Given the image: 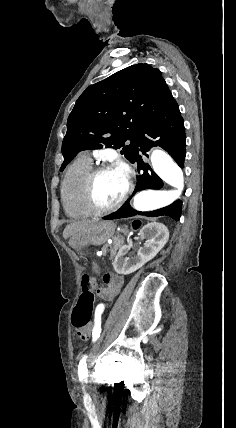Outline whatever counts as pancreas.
I'll return each instance as SVG.
<instances>
[{
  "mask_svg": "<svg viewBox=\"0 0 236 428\" xmlns=\"http://www.w3.org/2000/svg\"><path fill=\"white\" fill-rule=\"evenodd\" d=\"M119 240H123V238H121V236H117V238H113L112 246H108V244H106V246H103V248H101V252H103V256H106L107 252H110V260L111 258H114L119 248L118 246Z\"/></svg>",
  "mask_w": 236,
  "mask_h": 428,
  "instance_id": "obj_1",
  "label": "pancreas"
}]
</instances>
